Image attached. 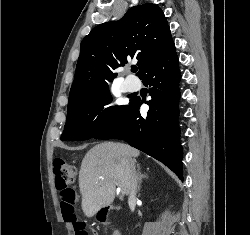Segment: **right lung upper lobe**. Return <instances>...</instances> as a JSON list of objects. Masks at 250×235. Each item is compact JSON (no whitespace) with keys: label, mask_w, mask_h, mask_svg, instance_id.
I'll return each instance as SVG.
<instances>
[{"label":"right lung upper lobe","mask_w":250,"mask_h":235,"mask_svg":"<svg viewBox=\"0 0 250 235\" xmlns=\"http://www.w3.org/2000/svg\"><path fill=\"white\" fill-rule=\"evenodd\" d=\"M172 43L164 13L152 3L132 7L119 21L96 26L81 42L69 102L108 86L106 80L116 76L110 69L130 59L138 60L141 78Z\"/></svg>","instance_id":"cb5924a9"}]
</instances>
